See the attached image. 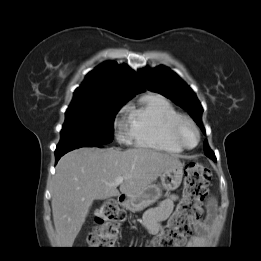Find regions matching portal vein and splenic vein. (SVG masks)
<instances>
[{
	"label": "portal vein and splenic vein",
	"instance_id": "obj_1",
	"mask_svg": "<svg viewBox=\"0 0 261 261\" xmlns=\"http://www.w3.org/2000/svg\"><path fill=\"white\" fill-rule=\"evenodd\" d=\"M124 177H118L115 179V181L112 183V185L118 186L119 184H121L124 181Z\"/></svg>",
	"mask_w": 261,
	"mask_h": 261
}]
</instances>
